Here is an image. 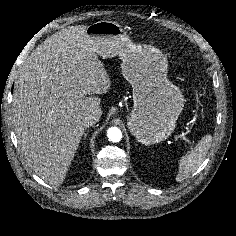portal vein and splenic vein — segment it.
I'll use <instances>...</instances> for the list:
<instances>
[{"label": "portal vein and splenic vein", "instance_id": "18ae733b", "mask_svg": "<svg viewBox=\"0 0 236 236\" xmlns=\"http://www.w3.org/2000/svg\"><path fill=\"white\" fill-rule=\"evenodd\" d=\"M178 138H180V139H182V140H184V141H186V142H189V141L187 140V138H186L183 134L178 135ZM189 144H191V143L189 142Z\"/></svg>", "mask_w": 236, "mask_h": 236}]
</instances>
